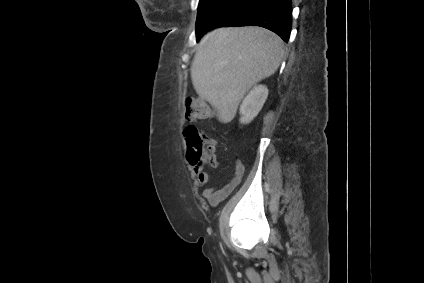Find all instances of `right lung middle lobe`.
Segmentation results:
<instances>
[{
    "label": "right lung middle lobe",
    "instance_id": "obj_1",
    "mask_svg": "<svg viewBox=\"0 0 424 283\" xmlns=\"http://www.w3.org/2000/svg\"><path fill=\"white\" fill-rule=\"evenodd\" d=\"M226 2L227 0H200L196 20V32L202 29L222 9Z\"/></svg>",
    "mask_w": 424,
    "mask_h": 283
}]
</instances>
